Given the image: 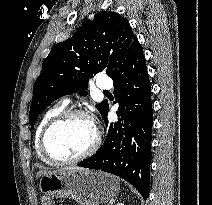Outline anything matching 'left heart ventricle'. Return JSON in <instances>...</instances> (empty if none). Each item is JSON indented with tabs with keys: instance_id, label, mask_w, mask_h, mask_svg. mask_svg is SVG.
<instances>
[{
	"instance_id": "left-heart-ventricle-1",
	"label": "left heart ventricle",
	"mask_w": 212,
	"mask_h": 205,
	"mask_svg": "<svg viewBox=\"0 0 212 205\" xmlns=\"http://www.w3.org/2000/svg\"><path fill=\"white\" fill-rule=\"evenodd\" d=\"M94 137L95 129L92 123L85 118L74 117L54 128L48 143L56 156L73 158L83 153Z\"/></svg>"
}]
</instances>
